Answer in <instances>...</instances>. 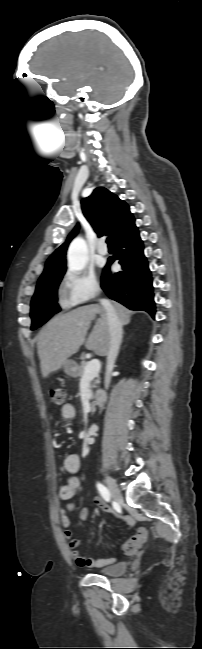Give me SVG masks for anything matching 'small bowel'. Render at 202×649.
<instances>
[{"label":"small bowel","instance_id":"obj_1","mask_svg":"<svg viewBox=\"0 0 202 649\" xmlns=\"http://www.w3.org/2000/svg\"><path fill=\"white\" fill-rule=\"evenodd\" d=\"M61 417L64 420H72L76 416V409L71 403H66L61 408ZM64 469L70 474L67 477L65 483L60 489L59 497L63 501L71 500L81 486L80 479L76 475L80 471L81 462L80 458L76 454L69 455L65 458L63 463ZM92 507L96 509L105 510L107 505L102 498H94L92 501ZM74 505L68 503L65 508L60 511V521L62 526L65 528L64 536L68 540V548L70 550V555L74 562L79 567H88V568H101L106 565L112 564L116 561L115 558H96V557H85L78 550L81 542L74 537L73 532L69 529L71 520L70 512L73 511ZM90 507H85L80 512V520L86 521L90 514Z\"/></svg>","mask_w":202,"mask_h":649}]
</instances>
